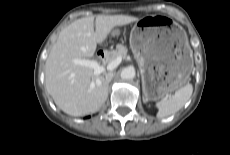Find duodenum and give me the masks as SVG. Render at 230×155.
Returning a JSON list of instances; mask_svg holds the SVG:
<instances>
[{"label": "duodenum", "instance_id": "obj_1", "mask_svg": "<svg viewBox=\"0 0 230 155\" xmlns=\"http://www.w3.org/2000/svg\"><path fill=\"white\" fill-rule=\"evenodd\" d=\"M97 59L103 63L107 61V52L105 50H100L97 52Z\"/></svg>", "mask_w": 230, "mask_h": 155}]
</instances>
